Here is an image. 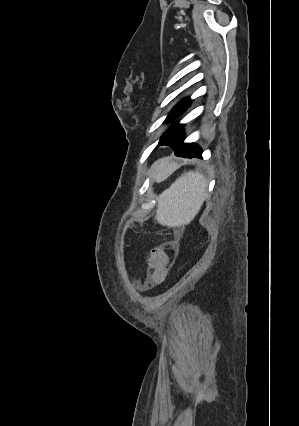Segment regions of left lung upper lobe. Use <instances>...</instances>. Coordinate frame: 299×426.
Masks as SVG:
<instances>
[{"label": "left lung upper lobe", "instance_id": "obj_1", "mask_svg": "<svg viewBox=\"0 0 299 426\" xmlns=\"http://www.w3.org/2000/svg\"><path fill=\"white\" fill-rule=\"evenodd\" d=\"M190 100L184 99L179 104H177L174 109L169 113L165 121H170L173 118H175L177 115L181 114L187 106L190 104ZM183 131V125L175 124L172 126L170 130H168L159 141V145H167L171 146L173 143L177 140V138L180 136V134Z\"/></svg>", "mask_w": 299, "mask_h": 426}]
</instances>
